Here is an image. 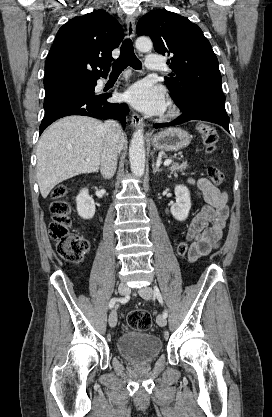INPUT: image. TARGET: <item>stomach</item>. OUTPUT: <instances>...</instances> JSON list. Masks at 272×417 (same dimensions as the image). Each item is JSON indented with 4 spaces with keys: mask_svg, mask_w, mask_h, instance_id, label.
I'll return each mask as SVG.
<instances>
[{
    "mask_svg": "<svg viewBox=\"0 0 272 417\" xmlns=\"http://www.w3.org/2000/svg\"><path fill=\"white\" fill-rule=\"evenodd\" d=\"M151 142L157 150L174 152L187 147L191 142V136L184 129L171 127L155 134Z\"/></svg>",
    "mask_w": 272,
    "mask_h": 417,
    "instance_id": "0dacf381",
    "label": "stomach"
}]
</instances>
